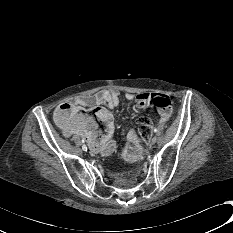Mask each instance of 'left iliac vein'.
Segmentation results:
<instances>
[{
    "instance_id": "1",
    "label": "left iliac vein",
    "mask_w": 233,
    "mask_h": 233,
    "mask_svg": "<svg viewBox=\"0 0 233 233\" xmlns=\"http://www.w3.org/2000/svg\"><path fill=\"white\" fill-rule=\"evenodd\" d=\"M156 142H157V137L154 136L150 143H151V145H154Z\"/></svg>"
}]
</instances>
